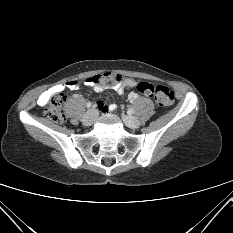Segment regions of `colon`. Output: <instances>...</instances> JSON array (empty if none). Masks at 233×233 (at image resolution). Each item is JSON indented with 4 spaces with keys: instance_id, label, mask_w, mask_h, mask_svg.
Wrapping results in <instances>:
<instances>
[{
    "instance_id": "colon-1",
    "label": "colon",
    "mask_w": 233,
    "mask_h": 233,
    "mask_svg": "<svg viewBox=\"0 0 233 233\" xmlns=\"http://www.w3.org/2000/svg\"><path fill=\"white\" fill-rule=\"evenodd\" d=\"M89 79L92 80V85L103 87H113L122 81L121 76L113 72L94 75ZM136 89L144 95L153 97L156 106L160 109H166L174 102V94L172 90L166 86H154L147 82H139L136 84ZM65 99L66 96L62 91L53 94L44 109V116L53 122H62L65 119L62 109V104Z\"/></svg>"
}]
</instances>
